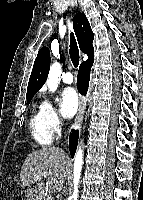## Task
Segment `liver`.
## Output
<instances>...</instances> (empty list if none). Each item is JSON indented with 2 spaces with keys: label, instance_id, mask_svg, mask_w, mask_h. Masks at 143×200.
Segmentation results:
<instances>
[{
  "label": "liver",
  "instance_id": "obj_1",
  "mask_svg": "<svg viewBox=\"0 0 143 200\" xmlns=\"http://www.w3.org/2000/svg\"><path fill=\"white\" fill-rule=\"evenodd\" d=\"M69 165V159L58 147H44L29 153L20 172L27 200H42L47 191L60 192L69 174ZM44 171L48 172L46 182L42 181Z\"/></svg>",
  "mask_w": 143,
  "mask_h": 200
}]
</instances>
